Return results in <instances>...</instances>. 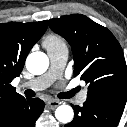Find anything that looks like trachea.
Returning <instances> with one entry per match:
<instances>
[{"instance_id": "3493384b", "label": "trachea", "mask_w": 127, "mask_h": 127, "mask_svg": "<svg viewBox=\"0 0 127 127\" xmlns=\"http://www.w3.org/2000/svg\"><path fill=\"white\" fill-rule=\"evenodd\" d=\"M79 90H80V88L77 87V88L73 89L72 91L65 93V98L68 99V98L73 97ZM25 94L27 96H30V97H34L35 96V92L33 90H31V89H27L25 91Z\"/></svg>"}]
</instances>
